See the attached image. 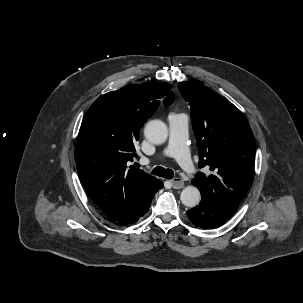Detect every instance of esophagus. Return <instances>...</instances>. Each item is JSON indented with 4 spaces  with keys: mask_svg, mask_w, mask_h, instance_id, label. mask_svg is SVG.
<instances>
[{
    "mask_svg": "<svg viewBox=\"0 0 303 303\" xmlns=\"http://www.w3.org/2000/svg\"><path fill=\"white\" fill-rule=\"evenodd\" d=\"M171 184L174 189H180L184 187V181L180 177H176L171 180Z\"/></svg>",
    "mask_w": 303,
    "mask_h": 303,
    "instance_id": "1",
    "label": "esophagus"
}]
</instances>
